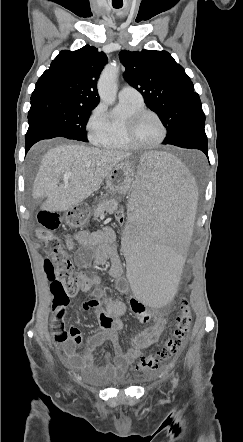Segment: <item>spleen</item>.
<instances>
[{"instance_id":"obj_1","label":"spleen","mask_w":243,"mask_h":442,"mask_svg":"<svg viewBox=\"0 0 243 442\" xmlns=\"http://www.w3.org/2000/svg\"><path fill=\"white\" fill-rule=\"evenodd\" d=\"M194 179L172 155L150 147L130 185L124 228L126 280L143 307H164L179 289L197 209Z\"/></svg>"}]
</instances>
